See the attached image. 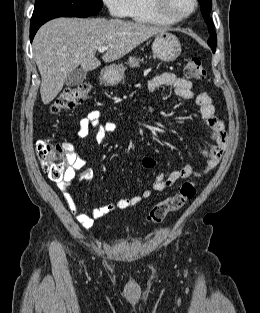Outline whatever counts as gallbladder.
I'll return each mask as SVG.
<instances>
[{
  "mask_svg": "<svg viewBox=\"0 0 260 313\" xmlns=\"http://www.w3.org/2000/svg\"><path fill=\"white\" fill-rule=\"evenodd\" d=\"M87 76V72L84 71L83 69H75L72 72H70L66 79H65V84L68 87H73L81 84Z\"/></svg>",
  "mask_w": 260,
  "mask_h": 313,
  "instance_id": "obj_1",
  "label": "gallbladder"
}]
</instances>
